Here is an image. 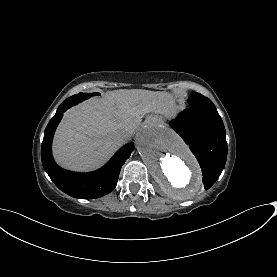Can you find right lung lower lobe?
I'll list each match as a JSON object with an SVG mask.
<instances>
[{
	"instance_id": "1",
	"label": "right lung lower lobe",
	"mask_w": 277,
	"mask_h": 277,
	"mask_svg": "<svg viewBox=\"0 0 277 277\" xmlns=\"http://www.w3.org/2000/svg\"><path fill=\"white\" fill-rule=\"evenodd\" d=\"M70 107L71 104L63 102L45 129L41 147L43 167L55 185L64 193L81 199L102 197L116 187L121 167L129 158L134 145L133 143L124 145L104 167L97 171L77 173L62 169L52 157L51 144L63 113Z\"/></svg>"
}]
</instances>
